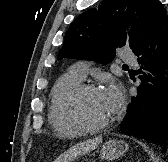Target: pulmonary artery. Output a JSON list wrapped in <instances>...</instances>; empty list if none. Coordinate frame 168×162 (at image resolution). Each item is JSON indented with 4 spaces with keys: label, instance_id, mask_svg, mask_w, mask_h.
Instances as JSON below:
<instances>
[{
    "label": "pulmonary artery",
    "instance_id": "e3ab8cb5",
    "mask_svg": "<svg viewBox=\"0 0 168 162\" xmlns=\"http://www.w3.org/2000/svg\"><path fill=\"white\" fill-rule=\"evenodd\" d=\"M122 60L126 63H135L136 60L133 55L125 53L122 56ZM88 62L86 61H80L77 62L73 67L71 68L72 72L81 80L86 77L87 69H88Z\"/></svg>",
    "mask_w": 168,
    "mask_h": 162
}]
</instances>
